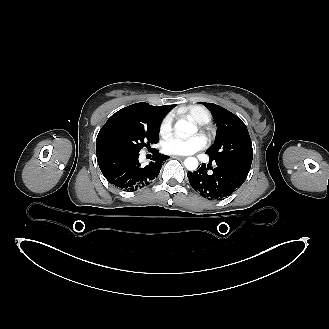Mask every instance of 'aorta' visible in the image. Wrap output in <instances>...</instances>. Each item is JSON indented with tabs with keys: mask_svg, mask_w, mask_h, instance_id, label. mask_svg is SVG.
<instances>
[{
	"mask_svg": "<svg viewBox=\"0 0 329 329\" xmlns=\"http://www.w3.org/2000/svg\"><path fill=\"white\" fill-rule=\"evenodd\" d=\"M174 128L179 136H192L197 132V127L186 120L177 121ZM184 165L189 171H195L198 167V160L194 157H188L185 159Z\"/></svg>",
	"mask_w": 329,
	"mask_h": 329,
	"instance_id": "obj_1",
	"label": "aorta"
}]
</instances>
